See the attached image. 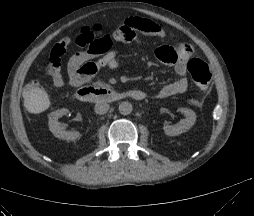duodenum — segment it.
Listing matches in <instances>:
<instances>
[{"label":"duodenum","instance_id":"1","mask_svg":"<svg viewBox=\"0 0 254 216\" xmlns=\"http://www.w3.org/2000/svg\"><path fill=\"white\" fill-rule=\"evenodd\" d=\"M76 97L83 102H114L123 97L141 100L144 95L135 89L117 91L108 87H81L77 90Z\"/></svg>","mask_w":254,"mask_h":216}]
</instances>
